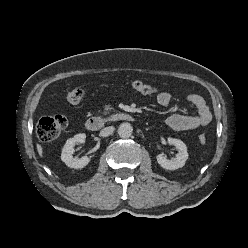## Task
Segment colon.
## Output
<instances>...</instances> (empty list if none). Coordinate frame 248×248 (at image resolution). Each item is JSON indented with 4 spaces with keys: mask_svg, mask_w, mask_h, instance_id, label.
<instances>
[{
    "mask_svg": "<svg viewBox=\"0 0 248 248\" xmlns=\"http://www.w3.org/2000/svg\"><path fill=\"white\" fill-rule=\"evenodd\" d=\"M132 89L142 94H153L156 88L152 85L135 81L131 84ZM66 100L71 104H79L85 98V92L81 89H73L66 93ZM67 125V120L62 115H52L42 117L36 127L37 136L43 142H49L56 139ZM199 143L204 145L206 143L205 135H200Z\"/></svg>",
    "mask_w": 248,
    "mask_h": 248,
    "instance_id": "1",
    "label": "colon"
}]
</instances>
